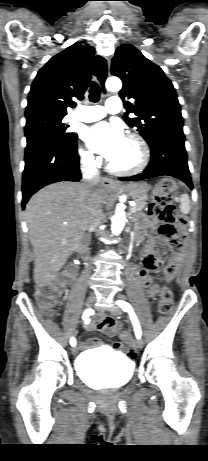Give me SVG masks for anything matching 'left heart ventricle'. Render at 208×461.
<instances>
[{
    "instance_id": "obj_1",
    "label": "left heart ventricle",
    "mask_w": 208,
    "mask_h": 461,
    "mask_svg": "<svg viewBox=\"0 0 208 461\" xmlns=\"http://www.w3.org/2000/svg\"><path fill=\"white\" fill-rule=\"evenodd\" d=\"M140 154L134 142L125 139L119 153L111 159V163L121 169H130L139 163Z\"/></svg>"
}]
</instances>
